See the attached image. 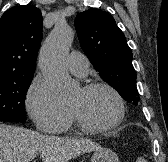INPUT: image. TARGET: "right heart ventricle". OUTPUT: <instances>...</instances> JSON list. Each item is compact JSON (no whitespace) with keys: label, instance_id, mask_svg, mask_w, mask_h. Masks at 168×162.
I'll return each instance as SVG.
<instances>
[{"label":"right heart ventricle","instance_id":"right-heart-ventricle-1","mask_svg":"<svg viewBox=\"0 0 168 162\" xmlns=\"http://www.w3.org/2000/svg\"><path fill=\"white\" fill-rule=\"evenodd\" d=\"M69 127H70V123L63 130H67Z\"/></svg>","mask_w":168,"mask_h":162}]
</instances>
